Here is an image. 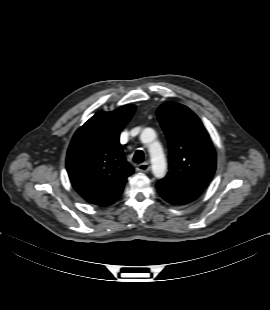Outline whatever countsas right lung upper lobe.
I'll use <instances>...</instances> for the list:
<instances>
[{
	"label": "right lung upper lobe",
	"instance_id": "1",
	"mask_svg": "<svg viewBox=\"0 0 270 310\" xmlns=\"http://www.w3.org/2000/svg\"><path fill=\"white\" fill-rule=\"evenodd\" d=\"M135 112L128 104L112 112H97L74 134L66 167L74 189L87 202L101 205L120 194L133 174L119 143L120 131Z\"/></svg>",
	"mask_w": 270,
	"mask_h": 310
}]
</instances>
